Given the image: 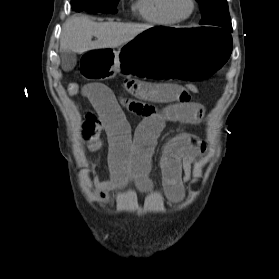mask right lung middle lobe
<instances>
[{
    "instance_id": "obj_1",
    "label": "right lung middle lobe",
    "mask_w": 279,
    "mask_h": 279,
    "mask_svg": "<svg viewBox=\"0 0 279 279\" xmlns=\"http://www.w3.org/2000/svg\"><path fill=\"white\" fill-rule=\"evenodd\" d=\"M119 0H71L72 9L76 12L116 13Z\"/></svg>"
}]
</instances>
